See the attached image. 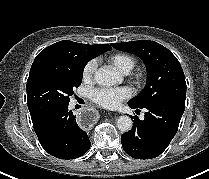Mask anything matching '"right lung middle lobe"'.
I'll use <instances>...</instances> for the list:
<instances>
[{"mask_svg":"<svg viewBox=\"0 0 209 179\" xmlns=\"http://www.w3.org/2000/svg\"><path fill=\"white\" fill-rule=\"evenodd\" d=\"M89 60L65 66H38L27 80V105L32 122L53 109L67 104L73 89L82 83L83 69Z\"/></svg>","mask_w":209,"mask_h":179,"instance_id":"dd1d6c3e","label":"right lung middle lobe"}]
</instances>
